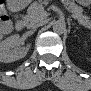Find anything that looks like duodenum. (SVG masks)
<instances>
[{
	"label": "duodenum",
	"instance_id": "duodenum-1",
	"mask_svg": "<svg viewBox=\"0 0 91 91\" xmlns=\"http://www.w3.org/2000/svg\"><path fill=\"white\" fill-rule=\"evenodd\" d=\"M24 25H25L24 20H23L22 18H19V19H17L16 22H15V29H16L17 31H21V30H23Z\"/></svg>",
	"mask_w": 91,
	"mask_h": 91
}]
</instances>
